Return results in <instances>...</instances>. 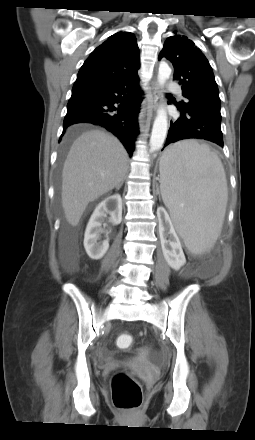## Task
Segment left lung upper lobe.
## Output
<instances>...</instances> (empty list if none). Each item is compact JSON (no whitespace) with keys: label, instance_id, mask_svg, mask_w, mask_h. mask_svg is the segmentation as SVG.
<instances>
[{"label":"left lung upper lobe","instance_id":"left-lung-upper-lobe-1","mask_svg":"<svg viewBox=\"0 0 255 440\" xmlns=\"http://www.w3.org/2000/svg\"><path fill=\"white\" fill-rule=\"evenodd\" d=\"M168 37L158 59L167 58L174 66V78L182 84L183 95L189 102H181L184 109L220 114V98L212 68L193 41L186 36Z\"/></svg>","mask_w":255,"mask_h":440}]
</instances>
